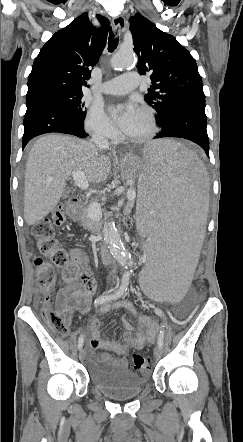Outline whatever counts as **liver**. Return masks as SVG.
<instances>
[{
  "label": "liver",
  "mask_w": 243,
  "mask_h": 442,
  "mask_svg": "<svg viewBox=\"0 0 243 442\" xmlns=\"http://www.w3.org/2000/svg\"><path fill=\"white\" fill-rule=\"evenodd\" d=\"M110 170V158L90 141L60 134L40 137L26 163L25 222L33 225L57 206L73 171H82L90 183H100Z\"/></svg>",
  "instance_id": "obj_1"
}]
</instances>
